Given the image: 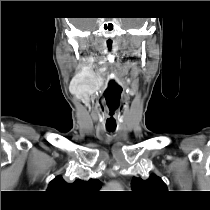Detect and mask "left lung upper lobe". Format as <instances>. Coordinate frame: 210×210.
Instances as JSON below:
<instances>
[{
	"mask_svg": "<svg viewBox=\"0 0 210 210\" xmlns=\"http://www.w3.org/2000/svg\"><path fill=\"white\" fill-rule=\"evenodd\" d=\"M132 189L140 193H157L166 191L167 187L160 177L151 175L147 180L134 177Z\"/></svg>",
	"mask_w": 210,
	"mask_h": 210,
	"instance_id": "obj_1",
	"label": "left lung upper lobe"
}]
</instances>
